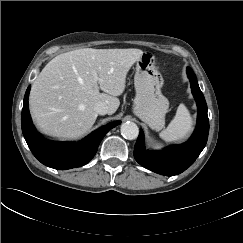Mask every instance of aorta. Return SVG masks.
I'll return each mask as SVG.
<instances>
[{
    "instance_id": "1",
    "label": "aorta",
    "mask_w": 243,
    "mask_h": 243,
    "mask_svg": "<svg viewBox=\"0 0 243 243\" xmlns=\"http://www.w3.org/2000/svg\"><path fill=\"white\" fill-rule=\"evenodd\" d=\"M121 135L128 140L136 139L139 135V128L134 122H125L121 125Z\"/></svg>"
}]
</instances>
